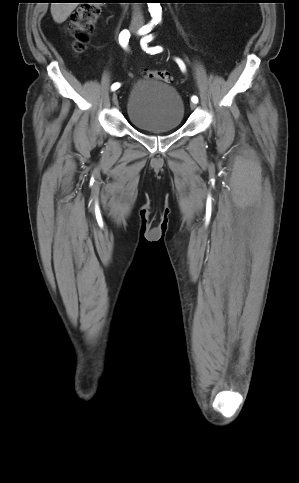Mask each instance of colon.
Segmentation results:
<instances>
[{
  "label": "colon",
  "mask_w": 299,
  "mask_h": 483,
  "mask_svg": "<svg viewBox=\"0 0 299 483\" xmlns=\"http://www.w3.org/2000/svg\"><path fill=\"white\" fill-rule=\"evenodd\" d=\"M101 2L93 1L79 7L71 17L69 31L73 37V49L81 54L87 49L91 33L101 15ZM147 79L160 80L166 83L171 81L170 74L165 70L144 69Z\"/></svg>",
  "instance_id": "obj_1"
}]
</instances>
